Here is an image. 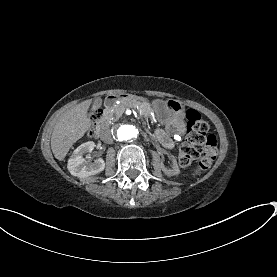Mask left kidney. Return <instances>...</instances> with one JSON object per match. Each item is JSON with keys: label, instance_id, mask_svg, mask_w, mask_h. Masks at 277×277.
Wrapping results in <instances>:
<instances>
[{"label": "left kidney", "instance_id": "left-kidney-1", "mask_svg": "<svg viewBox=\"0 0 277 277\" xmlns=\"http://www.w3.org/2000/svg\"><path fill=\"white\" fill-rule=\"evenodd\" d=\"M162 171L169 177L178 175L180 173V169L177 165L176 159L173 158V168L172 169H167L164 166H162Z\"/></svg>", "mask_w": 277, "mask_h": 277}]
</instances>
